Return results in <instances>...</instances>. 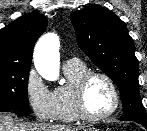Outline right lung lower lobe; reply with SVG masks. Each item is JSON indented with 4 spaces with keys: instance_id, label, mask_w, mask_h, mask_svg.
I'll list each match as a JSON object with an SVG mask.
<instances>
[{
    "instance_id": "right-lung-lower-lobe-1",
    "label": "right lung lower lobe",
    "mask_w": 147,
    "mask_h": 131,
    "mask_svg": "<svg viewBox=\"0 0 147 131\" xmlns=\"http://www.w3.org/2000/svg\"><path fill=\"white\" fill-rule=\"evenodd\" d=\"M10 111V109H0V112Z\"/></svg>"
}]
</instances>
